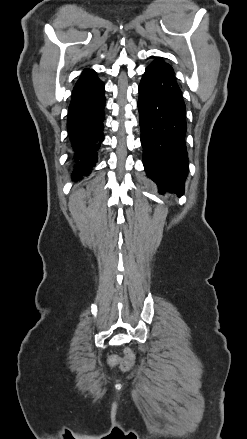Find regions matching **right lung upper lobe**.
Here are the masks:
<instances>
[{"instance_id":"obj_1","label":"right lung upper lobe","mask_w":247,"mask_h":439,"mask_svg":"<svg viewBox=\"0 0 247 439\" xmlns=\"http://www.w3.org/2000/svg\"><path fill=\"white\" fill-rule=\"evenodd\" d=\"M100 80L96 76V72L92 69H85L79 80L76 82L73 91L83 90L96 85Z\"/></svg>"}]
</instances>
